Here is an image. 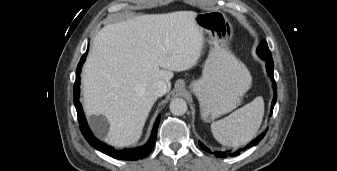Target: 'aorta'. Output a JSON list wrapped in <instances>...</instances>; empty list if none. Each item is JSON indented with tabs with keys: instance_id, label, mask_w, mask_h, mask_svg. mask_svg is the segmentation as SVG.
<instances>
[{
	"instance_id": "aorta-1",
	"label": "aorta",
	"mask_w": 337,
	"mask_h": 171,
	"mask_svg": "<svg viewBox=\"0 0 337 171\" xmlns=\"http://www.w3.org/2000/svg\"><path fill=\"white\" fill-rule=\"evenodd\" d=\"M170 111L173 115L182 116L186 113L188 107L187 103L182 98H175L170 102Z\"/></svg>"
}]
</instances>
